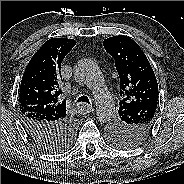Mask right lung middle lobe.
<instances>
[{
  "label": "right lung middle lobe",
  "instance_id": "right-lung-middle-lobe-1",
  "mask_svg": "<svg viewBox=\"0 0 184 184\" xmlns=\"http://www.w3.org/2000/svg\"><path fill=\"white\" fill-rule=\"evenodd\" d=\"M73 134H74V132H72V131L67 132L65 134V136L63 137L62 142L59 145L51 146L50 148H48V150L53 151V152L54 151L57 152V151L65 149L66 147H68V144H70L72 137H73Z\"/></svg>",
  "mask_w": 184,
  "mask_h": 184
}]
</instances>
